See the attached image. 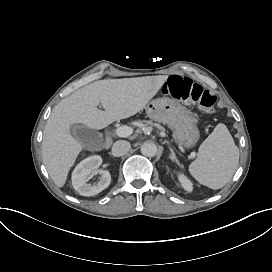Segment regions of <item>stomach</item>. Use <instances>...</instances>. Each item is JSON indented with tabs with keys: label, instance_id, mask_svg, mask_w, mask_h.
Here are the masks:
<instances>
[{
	"label": "stomach",
	"instance_id": "stomach-1",
	"mask_svg": "<svg viewBox=\"0 0 272 272\" xmlns=\"http://www.w3.org/2000/svg\"><path fill=\"white\" fill-rule=\"evenodd\" d=\"M149 118L167 124L173 130L175 141L190 148L199 139L197 119L178 101L163 97L148 102L145 106Z\"/></svg>",
	"mask_w": 272,
	"mask_h": 272
}]
</instances>
